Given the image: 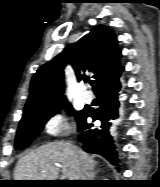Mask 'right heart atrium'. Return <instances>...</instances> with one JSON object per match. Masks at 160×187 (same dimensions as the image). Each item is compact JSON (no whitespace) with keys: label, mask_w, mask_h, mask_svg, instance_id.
I'll use <instances>...</instances> for the list:
<instances>
[{"label":"right heart atrium","mask_w":160,"mask_h":187,"mask_svg":"<svg viewBox=\"0 0 160 187\" xmlns=\"http://www.w3.org/2000/svg\"><path fill=\"white\" fill-rule=\"evenodd\" d=\"M43 129L50 137L64 136L69 132L67 117L54 113L45 120Z\"/></svg>","instance_id":"d8ad5b80"}]
</instances>
